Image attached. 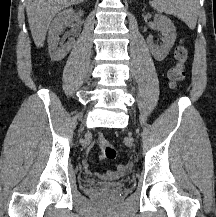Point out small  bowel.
I'll return each mask as SVG.
<instances>
[{"mask_svg":"<svg viewBox=\"0 0 216 217\" xmlns=\"http://www.w3.org/2000/svg\"><path fill=\"white\" fill-rule=\"evenodd\" d=\"M123 169L121 167H117L114 170H111L109 172L99 174V176L104 180H113L115 179L119 173H121Z\"/></svg>","mask_w":216,"mask_h":217,"instance_id":"obj_1","label":"small bowel"}]
</instances>
